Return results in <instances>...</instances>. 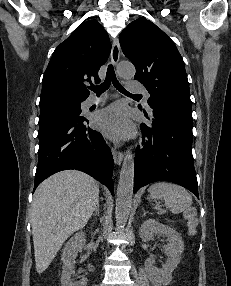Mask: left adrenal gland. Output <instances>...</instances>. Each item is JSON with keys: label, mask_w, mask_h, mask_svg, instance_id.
<instances>
[{"label": "left adrenal gland", "mask_w": 231, "mask_h": 286, "mask_svg": "<svg viewBox=\"0 0 231 286\" xmlns=\"http://www.w3.org/2000/svg\"><path fill=\"white\" fill-rule=\"evenodd\" d=\"M143 216L147 214V212L142 208Z\"/></svg>", "instance_id": "a2214340"}]
</instances>
